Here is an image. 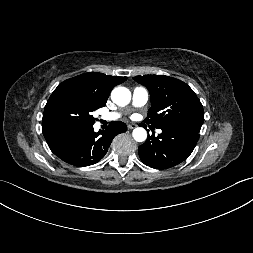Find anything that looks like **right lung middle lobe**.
<instances>
[{
  "label": "right lung middle lobe",
  "mask_w": 253,
  "mask_h": 253,
  "mask_svg": "<svg viewBox=\"0 0 253 253\" xmlns=\"http://www.w3.org/2000/svg\"><path fill=\"white\" fill-rule=\"evenodd\" d=\"M103 106L81 86L68 79L57 86L47 101L42 128L93 125L95 118L92 112Z\"/></svg>",
  "instance_id": "right-lung-middle-lobe-1"
}]
</instances>
